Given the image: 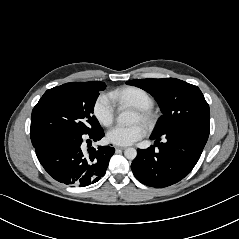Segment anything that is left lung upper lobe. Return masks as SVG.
<instances>
[{
  "mask_svg": "<svg viewBox=\"0 0 239 239\" xmlns=\"http://www.w3.org/2000/svg\"><path fill=\"white\" fill-rule=\"evenodd\" d=\"M126 83L145 90L158 102L163 115L153 134L163 135L176 129L209 132V105L197 86L174 78L139 79Z\"/></svg>",
  "mask_w": 239,
  "mask_h": 239,
  "instance_id": "1",
  "label": "left lung upper lobe"
}]
</instances>
